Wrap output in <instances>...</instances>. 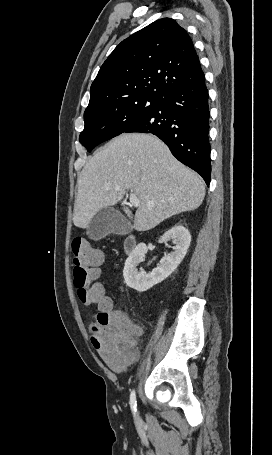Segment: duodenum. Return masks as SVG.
Listing matches in <instances>:
<instances>
[{
  "instance_id": "obj_1",
  "label": "duodenum",
  "mask_w": 272,
  "mask_h": 455,
  "mask_svg": "<svg viewBox=\"0 0 272 455\" xmlns=\"http://www.w3.org/2000/svg\"><path fill=\"white\" fill-rule=\"evenodd\" d=\"M137 245V239L134 235H129L124 241V250L127 254H130L134 251Z\"/></svg>"
}]
</instances>
